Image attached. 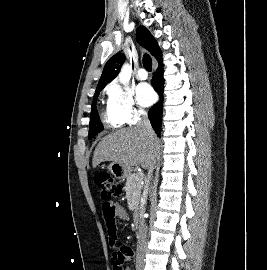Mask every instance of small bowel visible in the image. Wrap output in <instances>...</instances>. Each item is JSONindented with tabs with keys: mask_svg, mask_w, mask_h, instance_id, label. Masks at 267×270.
<instances>
[{
	"mask_svg": "<svg viewBox=\"0 0 267 270\" xmlns=\"http://www.w3.org/2000/svg\"><path fill=\"white\" fill-rule=\"evenodd\" d=\"M102 210H103V216L106 222V229H107V234L110 240V246L113 249H115V239L117 236L116 218L117 217L122 218V219L126 218L127 212L122 207L121 204L117 202H113V201L104 202L102 205ZM114 255L120 256L122 260L124 258L131 260L134 257V252L129 246L123 245L119 249H115V251L112 254V257ZM125 270H130V269L126 268Z\"/></svg>",
	"mask_w": 267,
	"mask_h": 270,
	"instance_id": "obj_1",
	"label": "small bowel"
}]
</instances>
